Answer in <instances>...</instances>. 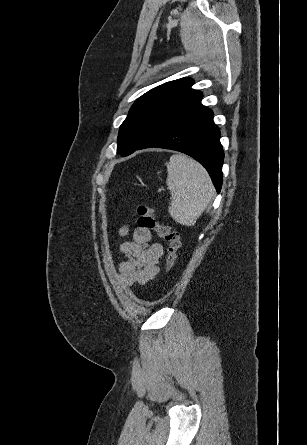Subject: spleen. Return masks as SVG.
Instances as JSON below:
<instances>
[{
  "mask_svg": "<svg viewBox=\"0 0 307 445\" xmlns=\"http://www.w3.org/2000/svg\"><path fill=\"white\" fill-rule=\"evenodd\" d=\"M167 172L166 184L171 194L168 212L179 225L193 227L212 198V180L200 162L185 154H172Z\"/></svg>",
  "mask_w": 307,
  "mask_h": 445,
  "instance_id": "1",
  "label": "spleen"
}]
</instances>
